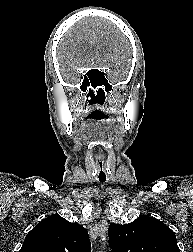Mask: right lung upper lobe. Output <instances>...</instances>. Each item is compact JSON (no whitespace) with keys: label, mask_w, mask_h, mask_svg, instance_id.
I'll return each instance as SVG.
<instances>
[{"label":"right lung upper lobe","mask_w":193,"mask_h":252,"mask_svg":"<svg viewBox=\"0 0 193 252\" xmlns=\"http://www.w3.org/2000/svg\"><path fill=\"white\" fill-rule=\"evenodd\" d=\"M86 229L52 215L37 224L25 237L19 252H90Z\"/></svg>","instance_id":"obj_1"}]
</instances>
